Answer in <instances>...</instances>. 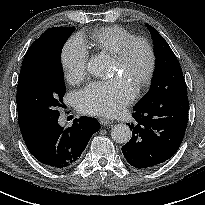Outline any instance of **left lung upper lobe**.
<instances>
[{"label": "left lung upper lobe", "instance_id": "obj_1", "mask_svg": "<svg viewBox=\"0 0 205 205\" xmlns=\"http://www.w3.org/2000/svg\"><path fill=\"white\" fill-rule=\"evenodd\" d=\"M147 28L155 45V72L149 92L135 107L175 94L186 87L179 61L170 46L151 25L147 24Z\"/></svg>", "mask_w": 205, "mask_h": 205}]
</instances>
